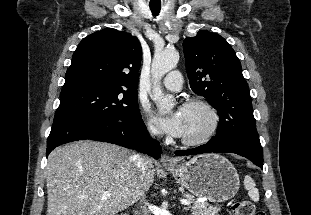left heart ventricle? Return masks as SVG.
<instances>
[{
    "label": "left heart ventricle",
    "mask_w": 311,
    "mask_h": 215,
    "mask_svg": "<svg viewBox=\"0 0 311 215\" xmlns=\"http://www.w3.org/2000/svg\"><path fill=\"white\" fill-rule=\"evenodd\" d=\"M185 115V128L182 138H198L203 135L210 124L208 113L199 107L182 108Z\"/></svg>",
    "instance_id": "obj_1"
}]
</instances>
